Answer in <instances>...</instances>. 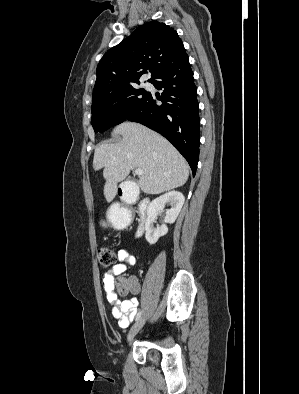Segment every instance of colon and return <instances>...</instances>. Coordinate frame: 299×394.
Wrapping results in <instances>:
<instances>
[{
  "instance_id": "1",
  "label": "colon",
  "mask_w": 299,
  "mask_h": 394,
  "mask_svg": "<svg viewBox=\"0 0 299 394\" xmlns=\"http://www.w3.org/2000/svg\"><path fill=\"white\" fill-rule=\"evenodd\" d=\"M97 258L100 266L108 267L117 260V254L110 246H100L97 250ZM113 289L119 294H127L131 291L132 281L130 278L118 277L112 281Z\"/></svg>"
}]
</instances>
